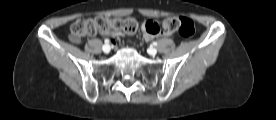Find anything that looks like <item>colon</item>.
Wrapping results in <instances>:
<instances>
[{
    "mask_svg": "<svg viewBox=\"0 0 276 120\" xmlns=\"http://www.w3.org/2000/svg\"><path fill=\"white\" fill-rule=\"evenodd\" d=\"M143 28L150 34H158L160 26L154 21H147ZM162 28L166 33L177 32L182 37L188 38L195 33L194 22L186 17H170L163 21ZM138 22L131 17L110 18L100 15L91 19H79L69 29V39L78 43L84 36H92L98 32L113 36L115 34L130 35L137 31Z\"/></svg>",
    "mask_w": 276,
    "mask_h": 120,
    "instance_id": "obj_1",
    "label": "colon"
}]
</instances>
